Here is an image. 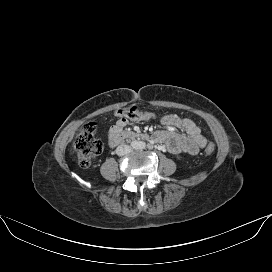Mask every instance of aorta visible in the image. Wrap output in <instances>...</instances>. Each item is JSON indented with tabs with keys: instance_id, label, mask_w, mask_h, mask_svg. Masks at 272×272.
<instances>
[{
	"instance_id": "762f6f07",
	"label": "aorta",
	"mask_w": 272,
	"mask_h": 272,
	"mask_svg": "<svg viewBox=\"0 0 272 272\" xmlns=\"http://www.w3.org/2000/svg\"><path fill=\"white\" fill-rule=\"evenodd\" d=\"M140 146H141V142H139V141H133L132 142V147L133 148H140Z\"/></svg>"
}]
</instances>
